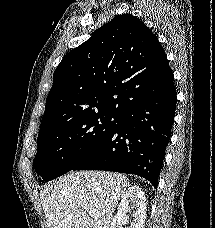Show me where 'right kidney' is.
Masks as SVG:
<instances>
[{
    "label": "right kidney",
    "instance_id": "1",
    "mask_svg": "<svg viewBox=\"0 0 215 228\" xmlns=\"http://www.w3.org/2000/svg\"><path fill=\"white\" fill-rule=\"evenodd\" d=\"M146 200L142 188L131 186L124 192L110 228H123L129 220L127 212H132L131 228H143L146 220Z\"/></svg>",
    "mask_w": 215,
    "mask_h": 228
}]
</instances>
